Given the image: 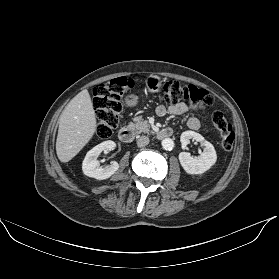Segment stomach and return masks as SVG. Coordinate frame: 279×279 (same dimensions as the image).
I'll use <instances>...</instances> for the list:
<instances>
[{"label":"stomach","instance_id":"1","mask_svg":"<svg viewBox=\"0 0 279 279\" xmlns=\"http://www.w3.org/2000/svg\"><path fill=\"white\" fill-rule=\"evenodd\" d=\"M145 84H146L147 89L150 92L155 93L160 90L161 85H162V80L158 75L151 74L146 78ZM138 99H139V97L137 95L130 94L126 97V103L128 106L134 107L137 105Z\"/></svg>","mask_w":279,"mask_h":279}]
</instances>
